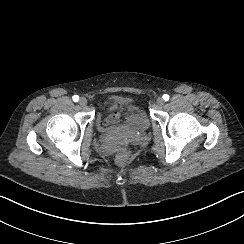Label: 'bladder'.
I'll return each mask as SVG.
<instances>
[{
    "mask_svg": "<svg viewBox=\"0 0 244 244\" xmlns=\"http://www.w3.org/2000/svg\"><path fill=\"white\" fill-rule=\"evenodd\" d=\"M102 117L103 115L99 114V118L101 119ZM150 126L151 122L145 112L138 109L136 105L129 104L117 128L125 132L140 134L145 133Z\"/></svg>",
    "mask_w": 244,
    "mask_h": 244,
    "instance_id": "bladder-1",
    "label": "bladder"
}]
</instances>
